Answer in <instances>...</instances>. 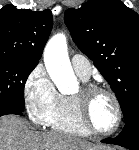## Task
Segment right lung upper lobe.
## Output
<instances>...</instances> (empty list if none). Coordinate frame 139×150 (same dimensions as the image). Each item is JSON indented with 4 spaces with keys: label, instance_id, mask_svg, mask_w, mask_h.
Wrapping results in <instances>:
<instances>
[{
    "label": "right lung upper lobe",
    "instance_id": "obj_1",
    "mask_svg": "<svg viewBox=\"0 0 139 150\" xmlns=\"http://www.w3.org/2000/svg\"><path fill=\"white\" fill-rule=\"evenodd\" d=\"M53 26L50 10L31 11L6 5L0 10V57L38 64Z\"/></svg>",
    "mask_w": 139,
    "mask_h": 150
}]
</instances>
